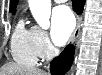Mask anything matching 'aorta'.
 <instances>
[{"instance_id": "obj_1", "label": "aorta", "mask_w": 102, "mask_h": 75, "mask_svg": "<svg viewBox=\"0 0 102 75\" xmlns=\"http://www.w3.org/2000/svg\"><path fill=\"white\" fill-rule=\"evenodd\" d=\"M33 17L42 29L50 27L51 0H29Z\"/></svg>"}]
</instances>
